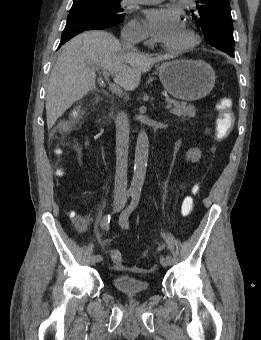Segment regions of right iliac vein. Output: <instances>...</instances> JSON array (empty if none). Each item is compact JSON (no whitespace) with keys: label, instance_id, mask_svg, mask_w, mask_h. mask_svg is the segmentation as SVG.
I'll return each mask as SVG.
<instances>
[{"label":"right iliac vein","instance_id":"63e3f726","mask_svg":"<svg viewBox=\"0 0 261 340\" xmlns=\"http://www.w3.org/2000/svg\"><path fill=\"white\" fill-rule=\"evenodd\" d=\"M122 204H123L122 200H120V199L115 200L114 201V209L117 210V211L120 210L121 207H122ZM95 264H96L95 255H91L89 257V265L94 266Z\"/></svg>","mask_w":261,"mask_h":340}]
</instances>
